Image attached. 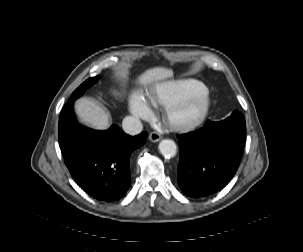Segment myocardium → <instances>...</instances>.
Segmentation results:
<instances>
[{
	"label": "myocardium",
	"mask_w": 303,
	"mask_h": 252,
	"mask_svg": "<svg viewBox=\"0 0 303 252\" xmlns=\"http://www.w3.org/2000/svg\"><path fill=\"white\" fill-rule=\"evenodd\" d=\"M211 98L207 91L196 89L181 102L167 108L168 122L178 128H190L199 124L207 115Z\"/></svg>",
	"instance_id": "myocardium-1"
}]
</instances>
